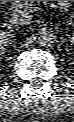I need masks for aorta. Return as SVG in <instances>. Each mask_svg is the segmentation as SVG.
<instances>
[{
	"label": "aorta",
	"instance_id": "762f6f07",
	"mask_svg": "<svg viewBox=\"0 0 74 122\" xmlns=\"http://www.w3.org/2000/svg\"><path fill=\"white\" fill-rule=\"evenodd\" d=\"M57 40L56 33L49 27H43L38 30L37 42L42 47H51Z\"/></svg>",
	"mask_w": 74,
	"mask_h": 122
}]
</instances>
